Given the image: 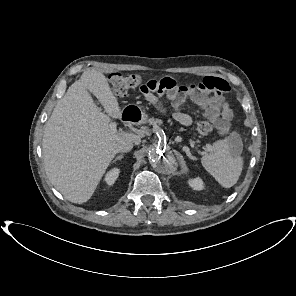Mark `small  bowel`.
I'll list each match as a JSON object with an SVG mask.
<instances>
[{
    "instance_id": "small-bowel-1",
    "label": "small bowel",
    "mask_w": 296,
    "mask_h": 296,
    "mask_svg": "<svg viewBox=\"0 0 296 296\" xmlns=\"http://www.w3.org/2000/svg\"><path fill=\"white\" fill-rule=\"evenodd\" d=\"M228 90L229 85L224 79L213 76L205 77L200 82L189 85L179 84L175 79L165 77L159 80H149L140 87L145 99L160 110L163 109V106L159 100V95L165 93L174 108V119L185 126L191 125L192 118L181 110L183 103L189 100L194 105L202 107L209 102L211 96L223 109V120L216 122L221 131L226 130L231 117V112L224 98V93Z\"/></svg>"
}]
</instances>
